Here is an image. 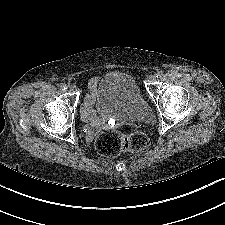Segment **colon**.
<instances>
[{"instance_id":"colon-1","label":"colon","mask_w":225,"mask_h":225,"mask_svg":"<svg viewBox=\"0 0 225 225\" xmlns=\"http://www.w3.org/2000/svg\"><path fill=\"white\" fill-rule=\"evenodd\" d=\"M150 145L149 138L143 132L125 135L120 132H102L95 140L97 152L106 157L117 156L124 152H139Z\"/></svg>"}]
</instances>
